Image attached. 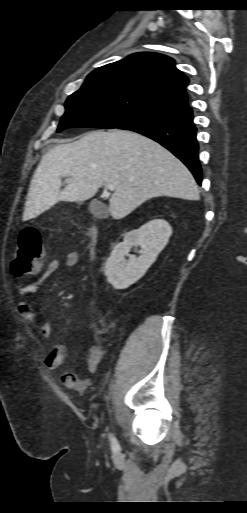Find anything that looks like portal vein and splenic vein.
Listing matches in <instances>:
<instances>
[{"label": "portal vein and splenic vein", "mask_w": 247, "mask_h": 513, "mask_svg": "<svg viewBox=\"0 0 247 513\" xmlns=\"http://www.w3.org/2000/svg\"><path fill=\"white\" fill-rule=\"evenodd\" d=\"M106 188L108 190H114L115 186H114V184L109 183V184L106 185Z\"/></svg>", "instance_id": "18ae733b"}]
</instances>
